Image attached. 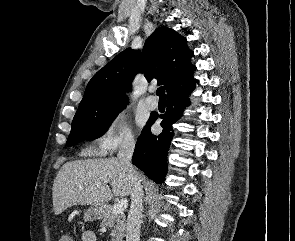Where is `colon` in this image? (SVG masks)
Here are the masks:
<instances>
[{"label":"colon","mask_w":295,"mask_h":241,"mask_svg":"<svg viewBox=\"0 0 295 241\" xmlns=\"http://www.w3.org/2000/svg\"><path fill=\"white\" fill-rule=\"evenodd\" d=\"M63 237V236H62ZM64 237H66V241H72L71 237L67 236V235H64Z\"/></svg>","instance_id":"1"}]
</instances>
